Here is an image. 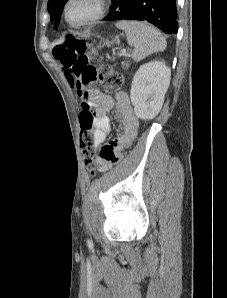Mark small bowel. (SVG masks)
Returning a JSON list of instances; mask_svg holds the SVG:
<instances>
[{"label": "small bowel", "mask_w": 227, "mask_h": 298, "mask_svg": "<svg viewBox=\"0 0 227 298\" xmlns=\"http://www.w3.org/2000/svg\"><path fill=\"white\" fill-rule=\"evenodd\" d=\"M92 105L96 109L93 123L94 149L100 147L112 129V120L107 113L114 112L120 119L118 136L104 145L99 153L93 157L94 165L101 171L109 167H116V162H122L121 153L132 146L138 134L139 121L128 95L117 92L113 96L101 91H92Z\"/></svg>", "instance_id": "c3829d8e"}]
</instances>
